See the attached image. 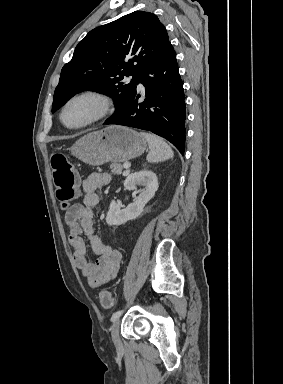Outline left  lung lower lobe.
Returning a JSON list of instances; mask_svg holds the SVG:
<instances>
[{
  "mask_svg": "<svg viewBox=\"0 0 283 384\" xmlns=\"http://www.w3.org/2000/svg\"><path fill=\"white\" fill-rule=\"evenodd\" d=\"M145 87V102L138 103L136 88ZM135 91L126 108L107 120L117 124L151 131L170 141L180 153L185 149V94L175 51L169 42L158 58L136 81Z\"/></svg>",
  "mask_w": 283,
  "mask_h": 384,
  "instance_id": "1",
  "label": "left lung lower lobe"
}]
</instances>
